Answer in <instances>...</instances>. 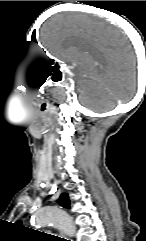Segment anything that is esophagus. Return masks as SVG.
<instances>
[{
    "mask_svg": "<svg viewBox=\"0 0 146 241\" xmlns=\"http://www.w3.org/2000/svg\"><path fill=\"white\" fill-rule=\"evenodd\" d=\"M60 234H61V236L65 239V241H71L69 238H66L63 233H60Z\"/></svg>",
    "mask_w": 146,
    "mask_h": 241,
    "instance_id": "1",
    "label": "esophagus"
}]
</instances>
